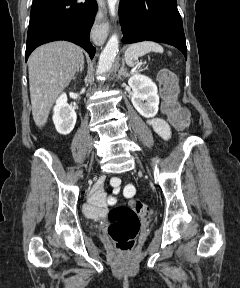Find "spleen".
Returning <instances> with one entry per match:
<instances>
[{
    "mask_svg": "<svg viewBox=\"0 0 240 288\" xmlns=\"http://www.w3.org/2000/svg\"><path fill=\"white\" fill-rule=\"evenodd\" d=\"M149 52L162 53L163 47L153 41H143L139 43H134L128 47L125 52V61L129 65H134V61L137 60L140 56L145 55ZM170 54V53H169Z\"/></svg>",
    "mask_w": 240,
    "mask_h": 288,
    "instance_id": "spleen-1",
    "label": "spleen"
}]
</instances>
